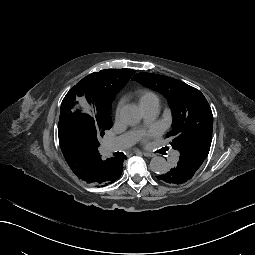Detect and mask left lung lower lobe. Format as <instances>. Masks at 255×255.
<instances>
[{"mask_svg": "<svg viewBox=\"0 0 255 255\" xmlns=\"http://www.w3.org/2000/svg\"><path fill=\"white\" fill-rule=\"evenodd\" d=\"M173 168L167 174L159 172L157 174L158 180L162 183L184 184L192 179V174L185 170L179 163H175Z\"/></svg>", "mask_w": 255, "mask_h": 255, "instance_id": "obj_1", "label": "left lung lower lobe"}]
</instances>
